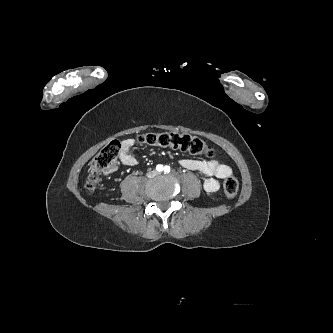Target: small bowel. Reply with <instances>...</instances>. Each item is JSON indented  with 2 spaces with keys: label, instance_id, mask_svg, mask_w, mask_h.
<instances>
[{
  "label": "small bowel",
  "instance_id": "c3829d8e",
  "mask_svg": "<svg viewBox=\"0 0 333 333\" xmlns=\"http://www.w3.org/2000/svg\"><path fill=\"white\" fill-rule=\"evenodd\" d=\"M134 140L127 138L121 141L120 161L125 166H136L137 159L132 153ZM182 167L188 170L197 171L207 176L203 182V189L208 194L214 195L219 190V179L226 178L232 174V169L217 159L199 160L182 158L179 160Z\"/></svg>",
  "mask_w": 333,
  "mask_h": 333
}]
</instances>
